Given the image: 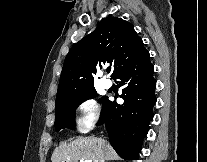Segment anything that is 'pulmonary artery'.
Returning <instances> with one entry per match:
<instances>
[{
    "instance_id": "obj_1",
    "label": "pulmonary artery",
    "mask_w": 207,
    "mask_h": 162,
    "mask_svg": "<svg viewBox=\"0 0 207 162\" xmlns=\"http://www.w3.org/2000/svg\"><path fill=\"white\" fill-rule=\"evenodd\" d=\"M103 86H104V88H106V89H110V88L112 87V82H111L110 80H105V81L103 82Z\"/></svg>"
}]
</instances>
